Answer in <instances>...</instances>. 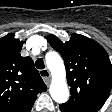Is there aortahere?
<instances>
[{
    "mask_svg": "<svg viewBox=\"0 0 112 112\" xmlns=\"http://www.w3.org/2000/svg\"><path fill=\"white\" fill-rule=\"evenodd\" d=\"M46 64L52 74L50 95L55 102L65 103L69 98V89L66 82V71L61 56L51 51L45 56Z\"/></svg>",
    "mask_w": 112,
    "mask_h": 112,
    "instance_id": "aorta-1",
    "label": "aorta"
}]
</instances>
